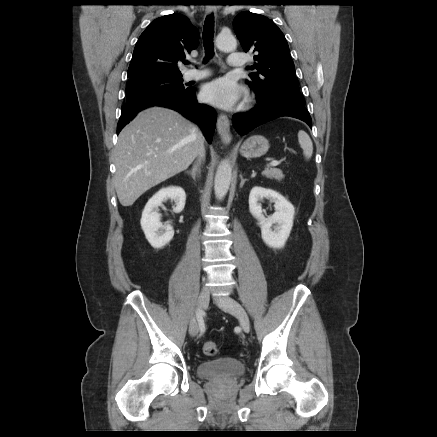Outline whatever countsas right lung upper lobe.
Instances as JSON below:
<instances>
[{
    "label": "right lung upper lobe",
    "instance_id": "obj_1",
    "mask_svg": "<svg viewBox=\"0 0 437 437\" xmlns=\"http://www.w3.org/2000/svg\"><path fill=\"white\" fill-rule=\"evenodd\" d=\"M199 32L190 20L173 13L152 21L139 37L128 77L147 74L182 75L177 63L196 49Z\"/></svg>",
    "mask_w": 437,
    "mask_h": 437
}]
</instances>
